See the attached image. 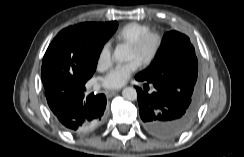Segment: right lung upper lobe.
Listing matches in <instances>:
<instances>
[{
    "label": "right lung upper lobe",
    "mask_w": 244,
    "mask_h": 157,
    "mask_svg": "<svg viewBox=\"0 0 244 157\" xmlns=\"http://www.w3.org/2000/svg\"><path fill=\"white\" fill-rule=\"evenodd\" d=\"M92 24L98 25V26H108V25L111 24V22H107V23H92ZM75 76H77V78H79V79L83 78V75H82L80 70H76ZM43 85H44V88H45V93H49L50 91L55 90V88L61 87V86L52 87L47 81L43 82Z\"/></svg>",
    "instance_id": "1"
}]
</instances>
